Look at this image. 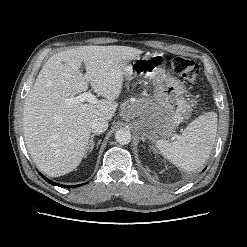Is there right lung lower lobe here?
Segmentation results:
<instances>
[{"mask_svg":"<svg viewBox=\"0 0 247 247\" xmlns=\"http://www.w3.org/2000/svg\"><path fill=\"white\" fill-rule=\"evenodd\" d=\"M40 174V173H39ZM48 183L52 184V185H56V186H59V187H63V188H74V187H78V186H81V185H62V184H58V183H55L49 179H47L46 177H44L42 174H40Z\"/></svg>","mask_w":247,"mask_h":247,"instance_id":"obj_1","label":"right lung lower lobe"}]
</instances>
